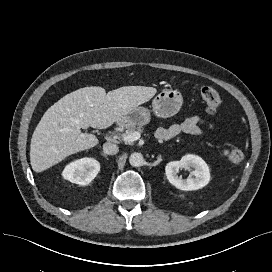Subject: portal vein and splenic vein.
Here are the masks:
<instances>
[{
  "label": "portal vein and splenic vein",
  "instance_id": "portal-vein-and-splenic-vein-1",
  "mask_svg": "<svg viewBox=\"0 0 272 272\" xmlns=\"http://www.w3.org/2000/svg\"><path fill=\"white\" fill-rule=\"evenodd\" d=\"M140 136H141V135H140V132L135 131V132L130 133V134H128V135L123 134V135H122V139H123L124 141H126V142H133V141L138 140V139L140 138Z\"/></svg>",
  "mask_w": 272,
  "mask_h": 272
}]
</instances>
